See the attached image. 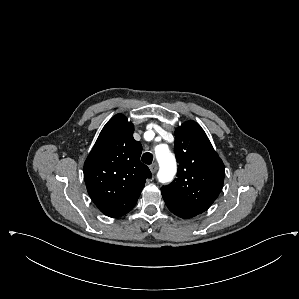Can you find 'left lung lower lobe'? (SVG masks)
<instances>
[{
    "label": "left lung lower lobe",
    "instance_id": "1",
    "mask_svg": "<svg viewBox=\"0 0 299 299\" xmlns=\"http://www.w3.org/2000/svg\"><path fill=\"white\" fill-rule=\"evenodd\" d=\"M164 201L168 207V209L175 215L181 217V218H185V219H188V218H191V217H194L196 216V214H193L179 206H177L175 203H173L172 201L164 198Z\"/></svg>",
    "mask_w": 299,
    "mask_h": 299
}]
</instances>
